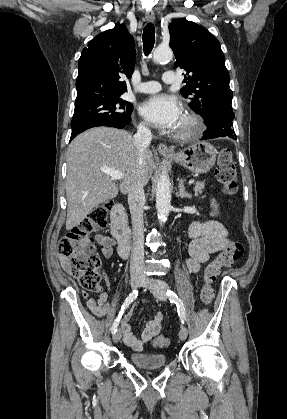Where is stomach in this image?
<instances>
[{
	"instance_id": "0dacf381",
	"label": "stomach",
	"mask_w": 287,
	"mask_h": 419,
	"mask_svg": "<svg viewBox=\"0 0 287 419\" xmlns=\"http://www.w3.org/2000/svg\"><path fill=\"white\" fill-rule=\"evenodd\" d=\"M217 150L208 142H196L172 157L179 165L193 173L204 174L210 171L216 162Z\"/></svg>"
}]
</instances>
